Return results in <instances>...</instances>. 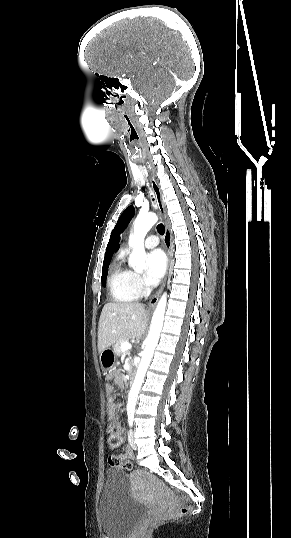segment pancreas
<instances>
[{
	"label": "pancreas",
	"mask_w": 291,
	"mask_h": 538,
	"mask_svg": "<svg viewBox=\"0 0 291 538\" xmlns=\"http://www.w3.org/2000/svg\"><path fill=\"white\" fill-rule=\"evenodd\" d=\"M124 342H127V339H121L114 344L113 349L117 356H120L122 354L123 351L121 350V344Z\"/></svg>",
	"instance_id": "obj_1"
}]
</instances>
